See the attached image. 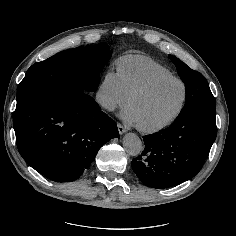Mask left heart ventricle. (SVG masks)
<instances>
[{"instance_id":"left-heart-ventricle-1","label":"left heart ventricle","mask_w":236,"mask_h":236,"mask_svg":"<svg viewBox=\"0 0 236 236\" xmlns=\"http://www.w3.org/2000/svg\"><path fill=\"white\" fill-rule=\"evenodd\" d=\"M182 97V84L177 81H167L135 99L130 108L137 124L151 127L170 118L179 108Z\"/></svg>"}]
</instances>
